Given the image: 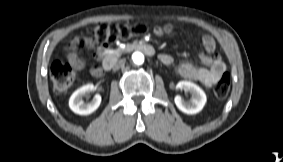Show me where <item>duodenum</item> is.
<instances>
[{
  "mask_svg": "<svg viewBox=\"0 0 283 162\" xmlns=\"http://www.w3.org/2000/svg\"><path fill=\"white\" fill-rule=\"evenodd\" d=\"M133 50H139L143 53L152 56L155 54L154 48L146 42H132L126 44L124 47L117 48L110 54L106 61L103 62V67L107 72H110L114 68V61L117 57L125 52H130Z\"/></svg>",
  "mask_w": 283,
  "mask_h": 162,
  "instance_id": "410a0bca",
  "label": "duodenum"
}]
</instances>
